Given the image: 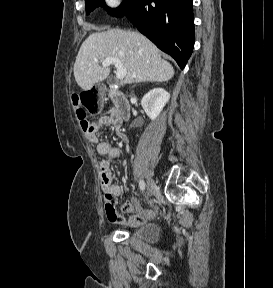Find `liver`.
I'll use <instances>...</instances> for the list:
<instances>
[{"label": "liver", "mask_w": 273, "mask_h": 288, "mask_svg": "<svg viewBox=\"0 0 273 288\" xmlns=\"http://www.w3.org/2000/svg\"><path fill=\"white\" fill-rule=\"evenodd\" d=\"M108 57L118 58L126 69L124 84L165 82L174 76L172 65L161 58L159 49L144 35L111 29L92 33L79 49L74 77L83 90L89 91L108 77L110 68L100 65Z\"/></svg>", "instance_id": "liver-1"}]
</instances>
